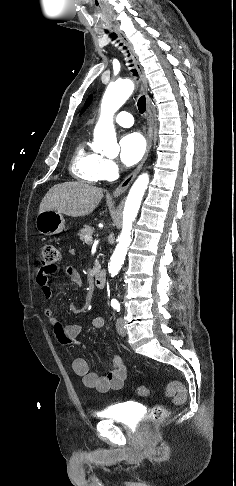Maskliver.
<instances>
[{
	"mask_svg": "<svg viewBox=\"0 0 236 486\" xmlns=\"http://www.w3.org/2000/svg\"><path fill=\"white\" fill-rule=\"evenodd\" d=\"M103 198V189L82 182L54 185L39 206V213L57 211L71 217L89 215Z\"/></svg>",
	"mask_w": 236,
	"mask_h": 486,
	"instance_id": "liver-1",
	"label": "liver"
}]
</instances>
